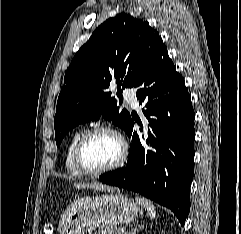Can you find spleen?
Masks as SVG:
<instances>
[{
    "label": "spleen",
    "mask_w": 241,
    "mask_h": 234,
    "mask_svg": "<svg viewBox=\"0 0 241 234\" xmlns=\"http://www.w3.org/2000/svg\"><path fill=\"white\" fill-rule=\"evenodd\" d=\"M136 201L148 211L150 218H155L156 211L152 202L145 198H136Z\"/></svg>",
    "instance_id": "3e777b00"
}]
</instances>
